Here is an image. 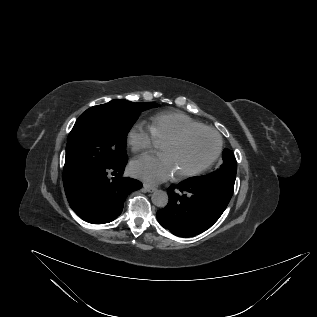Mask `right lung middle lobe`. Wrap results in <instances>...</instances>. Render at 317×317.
<instances>
[{
  "label": "right lung middle lobe",
  "instance_id": "dd1d6c3e",
  "mask_svg": "<svg viewBox=\"0 0 317 317\" xmlns=\"http://www.w3.org/2000/svg\"><path fill=\"white\" fill-rule=\"evenodd\" d=\"M157 106L155 103L112 100L87 109L77 119L67 142L65 161L72 177L127 160L129 130L140 112Z\"/></svg>",
  "mask_w": 317,
  "mask_h": 317
}]
</instances>
